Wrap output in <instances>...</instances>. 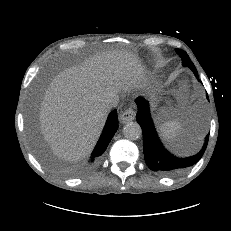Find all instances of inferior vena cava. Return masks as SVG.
Wrapping results in <instances>:
<instances>
[{"instance_id": "602c4592", "label": "inferior vena cava", "mask_w": 231, "mask_h": 231, "mask_svg": "<svg viewBox=\"0 0 231 231\" xmlns=\"http://www.w3.org/2000/svg\"><path fill=\"white\" fill-rule=\"evenodd\" d=\"M119 102V96L117 94L112 93L110 97L106 101V108L110 110L113 107H116Z\"/></svg>"}]
</instances>
